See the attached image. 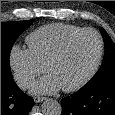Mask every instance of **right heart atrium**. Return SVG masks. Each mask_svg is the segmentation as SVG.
<instances>
[{
  "label": "right heart atrium",
  "instance_id": "d8ad5b80",
  "mask_svg": "<svg viewBox=\"0 0 115 115\" xmlns=\"http://www.w3.org/2000/svg\"><path fill=\"white\" fill-rule=\"evenodd\" d=\"M9 66L13 76L22 89L30 87L37 75L44 70L29 49L13 45L8 54Z\"/></svg>",
  "mask_w": 115,
  "mask_h": 115
}]
</instances>
